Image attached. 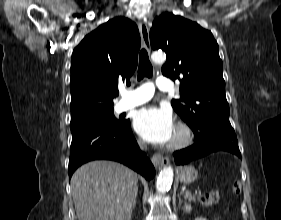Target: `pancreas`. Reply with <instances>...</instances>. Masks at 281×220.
<instances>
[{"label": "pancreas", "instance_id": "cf45deb5", "mask_svg": "<svg viewBox=\"0 0 281 220\" xmlns=\"http://www.w3.org/2000/svg\"><path fill=\"white\" fill-rule=\"evenodd\" d=\"M185 197L188 201H196V199H199V196L191 194L188 191L185 193Z\"/></svg>", "mask_w": 281, "mask_h": 220}]
</instances>
